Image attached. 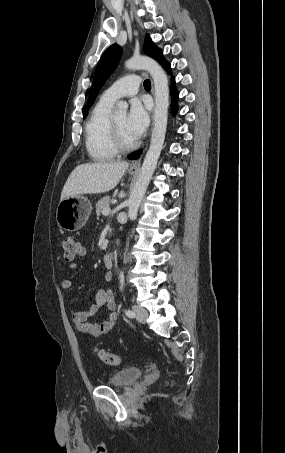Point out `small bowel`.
Wrapping results in <instances>:
<instances>
[{
	"label": "small bowel",
	"instance_id": "1",
	"mask_svg": "<svg viewBox=\"0 0 285 453\" xmlns=\"http://www.w3.org/2000/svg\"><path fill=\"white\" fill-rule=\"evenodd\" d=\"M86 249L80 247V255L85 256ZM78 265L76 263H71L69 268L71 270L77 269ZM112 274L106 273L104 279L106 282L112 281ZM62 288L67 291L69 294L74 292V286L72 282L68 279H64L61 282ZM105 308L107 311V317L99 322H92L91 319L97 314L99 309ZM116 303L114 300V295L110 290H100L97 293L95 303L91 306L88 311H76L72 306H70V313L72 321L75 324L76 329L87 336L91 337H100L103 334L111 331L117 323L118 316L115 312Z\"/></svg>",
	"mask_w": 285,
	"mask_h": 453
}]
</instances>
